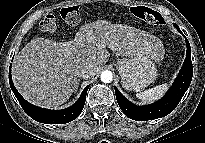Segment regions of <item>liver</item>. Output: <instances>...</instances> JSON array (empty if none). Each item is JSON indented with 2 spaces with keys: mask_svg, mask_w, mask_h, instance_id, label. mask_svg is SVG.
Returning a JSON list of instances; mask_svg holds the SVG:
<instances>
[{
  "mask_svg": "<svg viewBox=\"0 0 205 143\" xmlns=\"http://www.w3.org/2000/svg\"><path fill=\"white\" fill-rule=\"evenodd\" d=\"M97 43L105 46L97 47ZM105 47L119 56L148 53L157 60L163 56L162 44L154 35L128 25L97 20L81 26L71 41L32 39L14 57V85L32 104L56 108L78 89L84 66L95 67L96 73L101 70L110 57Z\"/></svg>",
  "mask_w": 205,
  "mask_h": 143,
  "instance_id": "liver-1",
  "label": "liver"
}]
</instances>
